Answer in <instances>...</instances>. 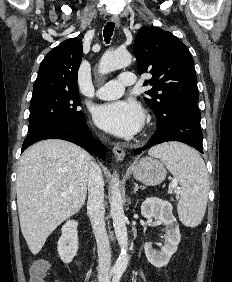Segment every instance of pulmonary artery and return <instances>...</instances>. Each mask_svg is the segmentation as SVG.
<instances>
[{"label": "pulmonary artery", "mask_w": 232, "mask_h": 282, "mask_svg": "<svg viewBox=\"0 0 232 282\" xmlns=\"http://www.w3.org/2000/svg\"><path fill=\"white\" fill-rule=\"evenodd\" d=\"M136 83V76L130 71L122 72L118 79L111 80L96 91V96L104 100H113L119 98L124 93L126 86H131Z\"/></svg>", "instance_id": "pulmonary-artery-1"}]
</instances>
